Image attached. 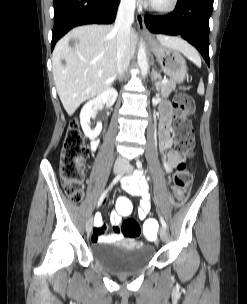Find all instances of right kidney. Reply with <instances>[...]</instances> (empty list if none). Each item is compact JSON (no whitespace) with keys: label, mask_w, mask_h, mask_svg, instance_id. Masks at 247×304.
Returning a JSON list of instances; mask_svg holds the SVG:
<instances>
[{"label":"right kidney","mask_w":247,"mask_h":304,"mask_svg":"<svg viewBox=\"0 0 247 304\" xmlns=\"http://www.w3.org/2000/svg\"><path fill=\"white\" fill-rule=\"evenodd\" d=\"M117 96L118 93L116 89L109 88L99 94L96 98L88 101L82 107L80 112V123L86 137L93 140L100 134L102 123H97L96 127L91 129L90 119L92 116L96 115V112L102 103L106 104L107 108L111 107L115 103Z\"/></svg>","instance_id":"1"}]
</instances>
